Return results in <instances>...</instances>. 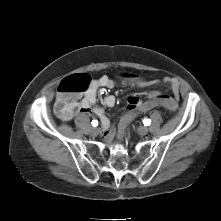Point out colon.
Listing matches in <instances>:
<instances>
[{"mask_svg":"<svg viewBox=\"0 0 221 221\" xmlns=\"http://www.w3.org/2000/svg\"><path fill=\"white\" fill-rule=\"evenodd\" d=\"M114 78L120 83H126L127 86L137 88L141 91L149 90L151 82L149 79L134 74L131 71L118 69L114 73ZM91 85L90 76L87 74H76L64 79L58 87V95L55 104L56 115L63 119L69 120L71 116V105L76 99V96L89 89ZM165 110L177 112L180 109V104L170 98L168 95H155L150 102L145 101L136 105L131 111L123 116L117 122L115 132L119 136H123L127 132L129 124L135 121L140 115L161 107Z\"/></svg>","mask_w":221,"mask_h":221,"instance_id":"1","label":"colon"}]
</instances>
